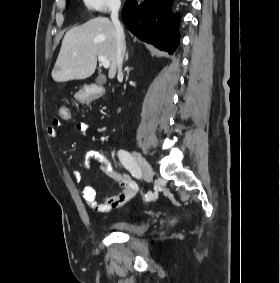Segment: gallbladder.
<instances>
[{
  "label": "gallbladder",
  "instance_id": "1",
  "mask_svg": "<svg viewBox=\"0 0 280 283\" xmlns=\"http://www.w3.org/2000/svg\"><path fill=\"white\" fill-rule=\"evenodd\" d=\"M105 81H106L105 77H104V76H101V75L98 76V77L96 78V80H95V82H96L98 85L104 84Z\"/></svg>",
  "mask_w": 280,
  "mask_h": 283
}]
</instances>
